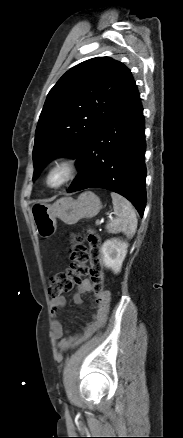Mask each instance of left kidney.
<instances>
[{"instance_id":"left-kidney-1","label":"left kidney","mask_w":183,"mask_h":438,"mask_svg":"<svg viewBox=\"0 0 183 438\" xmlns=\"http://www.w3.org/2000/svg\"><path fill=\"white\" fill-rule=\"evenodd\" d=\"M127 248L128 243L117 238L106 240L101 249L104 266L112 269L114 273L120 272Z\"/></svg>"}]
</instances>
